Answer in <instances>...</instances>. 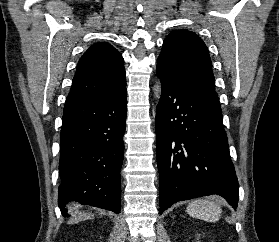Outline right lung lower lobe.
<instances>
[{"mask_svg":"<svg viewBox=\"0 0 279 242\" xmlns=\"http://www.w3.org/2000/svg\"><path fill=\"white\" fill-rule=\"evenodd\" d=\"M127 92L65 105L60 134L58 204L70 201L120 212V168Z\"/></svg>","mask_w":279,"mask_h":242,"instance_id":"1","label":"right lung lower lobe"}]
</instances>
